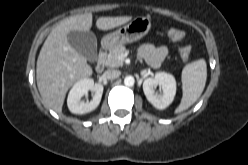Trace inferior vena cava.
Here are the masks:
<instances>
[{
    "instance_id": "1",
    "label": "inferior vena cava",
    "mask_w": 248,
    "mask_h": 165,
    "mask_svg": "<svg viewBox=\"0 0 248 165\" xmlns=\"http://www.w3.org/2000/svg\"><path fill=\"white\" fill-rule=\"evenodd\" d=\"M120 74H121V72L119 70H115V69L107 70L104 72V76L107 79H116L120 76Z\"/></svg>"
}]
</instances>
